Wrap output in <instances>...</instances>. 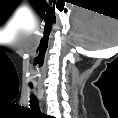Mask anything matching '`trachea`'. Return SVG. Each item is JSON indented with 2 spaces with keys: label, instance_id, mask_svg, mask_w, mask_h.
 <instances>
[{
  "label": "trachea",
  "instance_id": "3493384b",
  "mask_svg": "<svg viewBox=\"0 0 118 118\" xmlns=\"http://www.w3.org/2000/svg\"><path fill=\"white\" fill-rule=\"evenodd\" d=\"M30 105L33 109L39 110L38 101H37V98L34 94L30 95Z\"/></svg>",
  "mask_w": 118,
  "mask_h": 118
}]
</instances>
